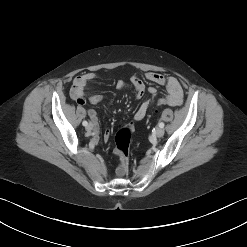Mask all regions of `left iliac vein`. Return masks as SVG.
Masks as SVG:
<instances>
[{
    "label": "left iliac vein",
    "instance_id": "1",
    "mask_svg": "<svg viewBox=\"0 0 247 247\" xmlns=\"http://www.w3.org/2000/svg\"><path fill=\"white\" fill-rule=\"evenodd\" d=\"M154 134H155L156 137L160 138V137H162L164 135V129L159 127V128H157L155 130Z\"/></svg>",
    "mask_w": 247,
    "mask_h": 247
}]
</instances>
